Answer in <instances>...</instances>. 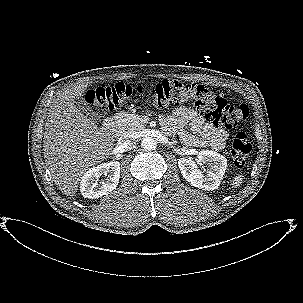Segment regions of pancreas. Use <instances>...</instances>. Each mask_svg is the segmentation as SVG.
I'll list each match as a JSON object with an SVG mask.
<instances>
[{"instance_id": "cf45deb5", "label": "pancreas", "mask_w": 303, "mask_h": 303, "mask_svg": "<svg viewBox=\"0 0 303 303\" xmlns=\"http://www.w3.org/2000/svg\"><path fill=\"white\" fill-rule=\"evenodd\" d=\"M144 116L138 114L120 113L116 118L117 135H127L145 128Z\"/></svg>"}]
</instances>
